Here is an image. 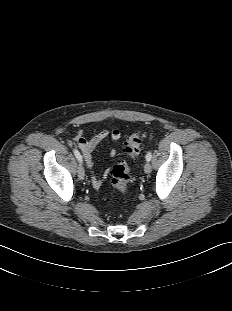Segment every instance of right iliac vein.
Returning a JSON list of instances; mask_svg holds the SVG:
<instances>
[{"label":"right iliac vein","mask_w":232,"mask_h":311,"mask_svg":"<svg viewBox=\"0 0 232 311\" xmlns=\"http://www.w3.org/2000/svg\"><path fill=\"white\" fill-rule=\"evenodd\" d=\"M78 177L83 180L85 178V171H84V167L82 164H79L78 167Z\"/></svg>","instance_id":"1"}]
</instances>
